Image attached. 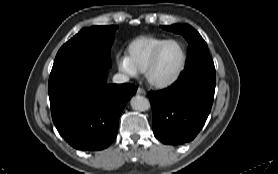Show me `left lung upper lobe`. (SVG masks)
I'll return each mask as SVG.
<instances>
[{"instance_id":"obj_1","label":"left lung upper lobe","mask_w":278,"mask_h":174,"mask_svg":"<svg viewBox=\"0 0 278 174\" xmlns=\"http://www.w3.org/2000/svg\"><path fill=\"white\" fill-rule=\"evenodd\" d=\"M161 28L182 34L189 43L187 64L180 77L199 72L215 75L214 63L209 55L207 44L195 29L187 24L161 26Z\"/></svg>"}]
</instances>
